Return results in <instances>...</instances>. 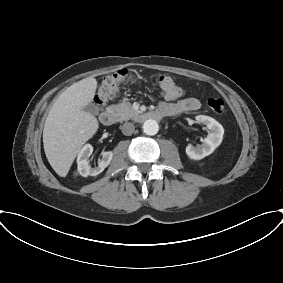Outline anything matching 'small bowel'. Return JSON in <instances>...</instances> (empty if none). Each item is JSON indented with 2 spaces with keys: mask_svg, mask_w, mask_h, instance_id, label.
<instances>
[{
  "mask_svg": "<svg viewBox=\"0 0 283 283\" xmlns=\"http://www.w3.org/2000/svg\"><path fill=\"white\" fill-rule=\"evenodd\" d=\"M169 100H174L176 98L166 97ZM200 108V101L195 97H186L178 100L175 103H161L160 110H169L172 115H178L182 113L194 112Z\"/></svg>",
  "mask_w": 283,
  "mask_h": 283,
  "instance_id": "obj_1",
  "label": "small bowel"
}]
</instances>
